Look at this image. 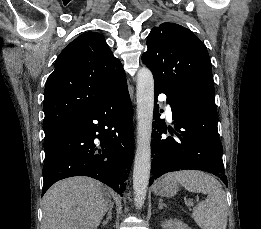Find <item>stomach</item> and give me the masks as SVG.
<instances>
[{
	"label": "stomach",
	"mask_w": 261,
	"mask_h": 229,
	"mask_svg": "<svg viewBox=\"0 0 261 229\" xmlns=\"http://www.w3.org/2000/svg\"><path fill=\"white\" fill-rule=\"evenodd\" d=\"M155 195H159V197H174L178 193V185L174 183V181H166V179H162V181H158L153 189Z\"/></svg>",
	"instance_id": "stomach-1"
}]
</instances>
